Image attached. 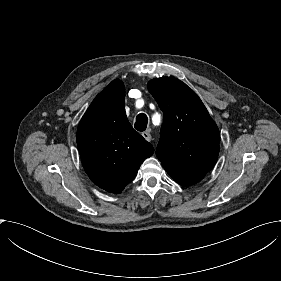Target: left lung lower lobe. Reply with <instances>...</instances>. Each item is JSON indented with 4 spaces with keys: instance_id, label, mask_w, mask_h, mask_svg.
Returning a JSON list of instances; mask_svg holds the SVG:
<instances>
[{
    "instance_id": "left-lung-lower-lobe-1",
    "label": "left lung lower lobe",
    "mask_w": 281,
    "mask_h": 281,
    "mask_svg": "<svg viewBox=\"0 0 281 281\" xmlns=\"http://www.w3.org/2000/svg\"><path fill=\"white\" fill-rule=\"evenodd\" d=\"M167 173L179 184L184 186H190L199 182L205 174H186L172 169L165 168Z\"/></svg>"
}]
</instances>
